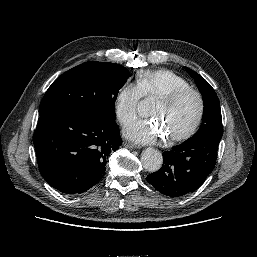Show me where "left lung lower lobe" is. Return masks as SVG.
Segmentation results:
<instances>
[{"label": "left lung lower lobe", "mask_w": 257, "mask_h": 257, "mask_svg": "<svg viewBox=\"0 0 257 257\" xmlns=\"http://www.w3.org/2000/svg\"><path fill=\"white\" fill-rule=\"evenodd\" d=\"M220 141L202 138L186 140L163 153V165L147 176L159 192L181 197L198 189L214 169Z\"/></svg>", "instance_id": "obj_1"}]
</instances>
